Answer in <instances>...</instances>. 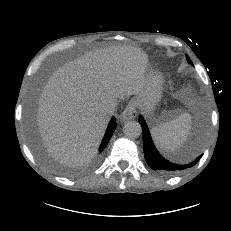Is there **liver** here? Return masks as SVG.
I'll use <instances>...</instances> for the list:
<instances>
[{
    "mask_svg": "<svg viewBox=\"0 0 231 231\" xmlns=\"http://www.w3.org/2000/svg\"><path fill=\"white\" fill-rule=\"evenodd\" d=\"M148 57L134 46L89 52L58 68L38 100L37 125L48 153L67 166L89 163L110 115L107 105L138 95L146 83Z\"/></svg>",
    "mask_w": 231,
    "mask_h": 231,
    "instance_id": "obj_1",
    "label": "liver"
}]
</instances>
